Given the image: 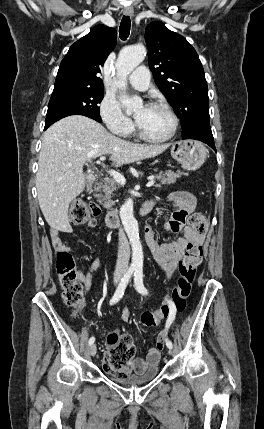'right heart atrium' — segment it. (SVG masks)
<instances>
[{"instance_id": "obj_1", "label": "right heart atrium", "mask_w": 264, "mask_h": 429, "mask_svg": "<svg viewBox=\"0 0 264 429\" xmlns=\"http://www.w3.org/2000/svg\"><path fill=\"white\" fill-rule=\"evenodd\" d=\"M99 115L107 129L117 136H128L133 131V122L126 116L116 99L106 95L99 105Z\"/></svg>"}]
</instances>
